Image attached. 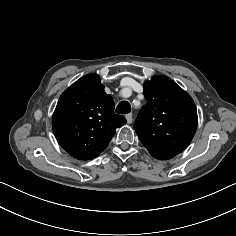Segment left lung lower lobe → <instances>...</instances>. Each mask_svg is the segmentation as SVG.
<instances>
[{"label": "left lung lower lobe", "instance_id": "obj_1", "mask_svg": "<svg viewBox=\"0 0 236 236\" xmlns=\"http://www.w3.org/2000/svg\"><path fill=\"white\" fill-rule=\"evenodd\" d=\"M153 157H155V158H157V159H160V160H167V159L172 158V157H170V156H165V155H155V156H153Z\"/></svg>", "mask_w": 236, "mask_h": 236}]
</instances>
